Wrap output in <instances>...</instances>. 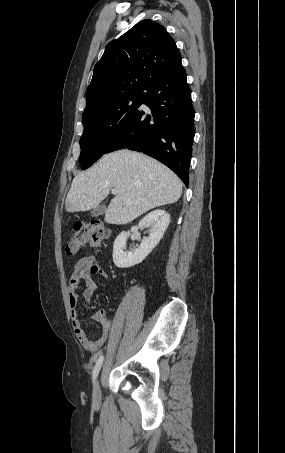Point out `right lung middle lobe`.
I'll list each match as a JSON object with an SVG mask.
<instances>
[{
  "label": "right lung middle lobe",
  "instance_id": "dd1d6c3e",
  "mask_svg": "<svg viewBox=\"0 0 285 453\" xmlns=\"http://www.w3.org/2000/svg\"><path fill=\"white\" fill-rule=\"evenodd\" d=\"M142 93L111 98L83 113L84 133L80 139V164L86 169L106 153L138 109Z\"/></svg>",
  "mask_w": 285,
  "mask_h": 453
}]
</instances>
